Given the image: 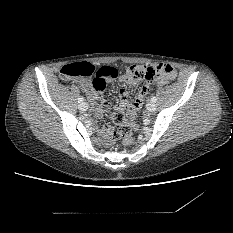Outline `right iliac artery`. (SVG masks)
<instances>
[{
  "mask_svg": "<svg viewBox=\"0 0 233 233\" xmlns=\"http://www.w3.org/2000/svg\"><path fill=\"white\" fill-rule=\"evenodd\" d=\"M83 101H84L83 97H79V98H78V102H79V103H82Z\"/></svg>",
  "mask_w": 233,
  "mask_h": 233,
  "instance_id": "obj_1",
  "label": "right iliac artery"
}]
</instances>
